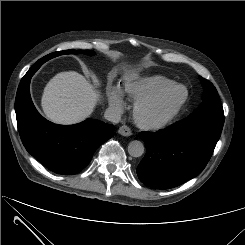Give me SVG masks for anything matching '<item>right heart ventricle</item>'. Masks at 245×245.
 <instances>
[{"mask_svg":"<svg viewBox=\"0 0 245 245\" xmlns=\"http://www.w3.org/2000/svg\"><path fill=\"white\" fill-rule=\"evenodd\" d=\"M171 84H173L171 79L153 75L126 82L122 87V92L130 100L138 101L143 97L158 93Z\"/></svg>","mask_w":245,"mask_h":245,"instance_id":"obj_1","label":"right heart ventricle"}]
</instances>
